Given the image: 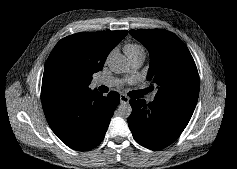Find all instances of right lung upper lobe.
Segmentation results:
<instances>
[{
  "label": "right lung upper lobe",
  "mask_w": 237,
  "mask_h": 169,
  "mask_svg": "<svg viewBox=\"0 0 237 169\" xmlns=\"http://www.w3.org/2000/svg\"><path fill=\"white\" fill-rule=\"evenodd\" d=\"M127 31L81 32L61 39L44 68L43 109L76 96L89 88L92 75L101 70L110 51Z\"/></svg>",
  "instance_id": "right-lung-upper-lobe-1"
}]
</instances>
